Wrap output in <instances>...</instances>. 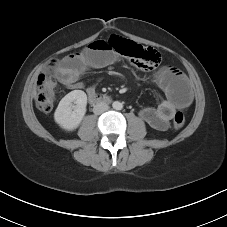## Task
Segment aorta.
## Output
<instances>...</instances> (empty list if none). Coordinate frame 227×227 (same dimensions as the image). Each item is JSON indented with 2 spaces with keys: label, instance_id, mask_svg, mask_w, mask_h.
<instances>
[{
  "label": "aorta",
  "instance_id": "762f6f07",
  "mask_svg": "<svg viewBox=\"0 0 227 227\" xmlns=\"http://www.w3.org/2000/svg\"><path fill=\"white\" fill-rule=\"evenodd\" d=\"M112 107L115 110H121L123 106H122V103H120L119 101H115V102H113Z\"/></svg>",
  "mask_w": 227,
  "mask_h": 227
}]
</instances>
